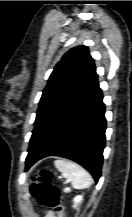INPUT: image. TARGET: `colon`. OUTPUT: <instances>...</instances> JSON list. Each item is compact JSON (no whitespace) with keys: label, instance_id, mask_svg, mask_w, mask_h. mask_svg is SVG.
Wrapping results in <instances>:
<instances>
[{"label":"colon","instance_id":"obj_1","mask_svg":"<svg viewBox=\"0 0 132 217\" xmlns=\"http://www.w3.org/2000/svg\"><path fill=\"white\" fill-rule=\"evenodd\" d=\"M52 178L51 169L45 168L37 171L33 178L31 192L41 206L51 208L63 216L64 205L60 198V190L51 183Z\"/></svg>","mask_w":132,"mask_h":217}]
</instances>
